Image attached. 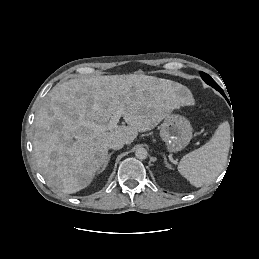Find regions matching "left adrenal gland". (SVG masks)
Returning a JSON list of instances; mask_svg holds the SVG:
<instances>
[{
  "instance_id": "left-adrenal-gland-1",
  "label": "left adrenal gland",
  "mask_w": 259,
  "mask_h": 259,
  "mask_svg": "<svg viewBox=\"0 0 259 259\" xmlns=\"http://www.w3.org/2000/svg\"><path fill=\"white\" fill-rule=\"evenodd\" d=\"M162 156H163V158H164V163H165L166 167L170 168V167H171V165L168 163V161H167V158H166L165 154H163V153H162Z\"/></svg>"
}]
</instances>
